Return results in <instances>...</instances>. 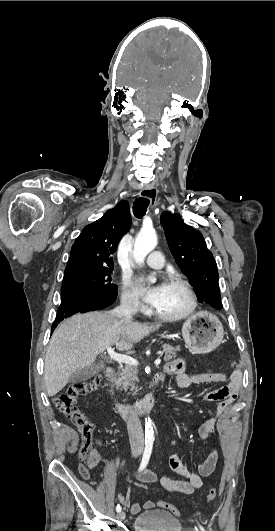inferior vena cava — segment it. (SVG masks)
I'll return each mask as SVG.
<instances>
[{"label": "inferior vena cava", "instance_id": "602c4592", "mask_svg": "<svg viewBox=\"0 0 275 531\" xmlns=\"http://www.w3.org/2000/svg\"><path fill=\"white\" fill-rule=\"evenodd\" d=\"M110 315L118 317V319H125V321L126 319H132L133 307L132 305H121V307H117V309L111 311ZM127 431L131 449H144V435L141 421L134 411H129Z\"/></svg>", "mask_w": 275, "mask_h": 531}]
</instances>
